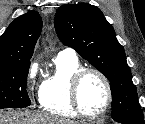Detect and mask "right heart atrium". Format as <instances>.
Listing matches in <instances>:
<instances>
[{"label":"right heart atrium","mask_w":145,"mask_h":124,"mask_svg":"<svg viewBox=\"0 0 145 124\" xmlns=\"http://www.w3.org/2000/svg\"><path fill=\"white\" fill-rule=\"evenodd\" d=\"M36 70H37L36 66L33 65V66L31 67L30 73H29L30 79H33V78H34V76H35V74H36Z\"/></svg>","instance_id":"right-heart-atrium-1"}]
</instances>
